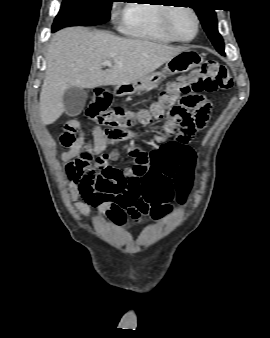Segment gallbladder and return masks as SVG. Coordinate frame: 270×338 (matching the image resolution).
Segmentation results:
<instances>
[{"instance_id":"1","label":"gallbladder","mask_w":270,"mask_h":338,"mask_svg":"<svg viewBox=\"0 0 270 338\" xmlns=\"http://www.w3.org/2000/svg\"><path fill=\"white\" fill-rule=\"evenodd\" d=\"M88 91L80 87H70L63 95L65 112L69 116H77L85 106Z\"/></svg>"}]
</instances>
